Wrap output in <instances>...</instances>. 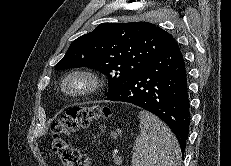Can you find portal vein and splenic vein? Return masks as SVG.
Returning a JSON list of instances; mask_svg holds the SVG:
<instances>
[{"mask_svg": "<svg viewBox=\"0 0 231 166\" xmlns=\"http://www.w3.org/2000/svg\"><path fill=\"white\" fill-rule=\"evenodd\" d=\"M115 161H116V163L121 164V162H122L121 156H117V157L115 158Z\"/></svg>", "mask_w": 231, "mask_h": 166, "instance_id": "obj_1", "label": "portal vein and splenic vein"}]
</instances>
